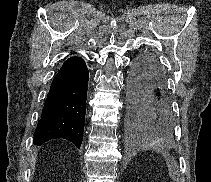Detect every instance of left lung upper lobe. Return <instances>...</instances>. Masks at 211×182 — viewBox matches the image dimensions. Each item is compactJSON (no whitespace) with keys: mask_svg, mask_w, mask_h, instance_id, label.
Returning a JSON list of instances; mask_svg holds the SVG:
<instances>
[{"mask_svg":"<svg viewBox=\"0 0 211 182\" xmlns=\"http://www.w3.org/2000/svg\"><path fill=\"white\" fill-rule=\"evenodd\" d=\"M147 132H153L152 129L150 127H147Z\"/></svg>","mask_w":211,"mask_h":182,"instance_id":"obj_1","label":"left lung upper lobe"}]
</instances>
